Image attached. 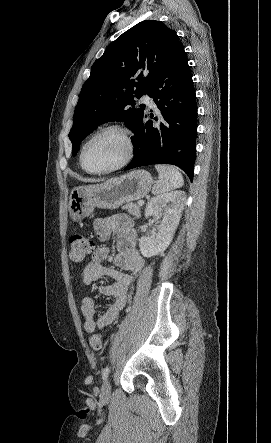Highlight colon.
Instances as JSON below:
<instances>
[{"instance_id":"obj_1","label":"colon","mask_w":271,"mask_h":443,"mask_svg":"<svg viewBox=\"0 0 271 443\" xmlns=\"http://www.w3.org/2000/svg\"><path fill=\"white\" fill-rule=\"evenodd\" d=\"M93 249L94 242L83 234L76 233L69 238V258L74 265H82ZM89 343L93 350H101L102 338L100 333L93 332L89 337Z\"/></svg>"}]
</instances>
